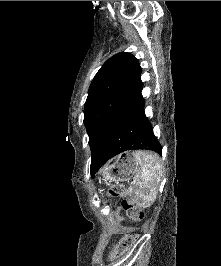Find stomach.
I'll use <instances>...</instances> for the list:
<instances>
[{
  "label": "stomach",
  "instance_id": "0dacf381",
  "mask_svg": "<svg viewBox=\"0 0 221 266\" xmlns=\"http://www.w3.org/2000/svg\"><path fill=\"white\" fill-rule=\"evenodd\" d=\"M139 171L134 153H124L112 159L103 169V176L109 183L129 181Z\"/></svg>",
  "mask_w": 221,
  "mask_h": 266
}]
</instances>
